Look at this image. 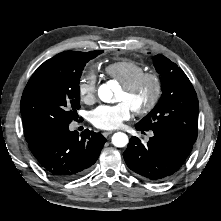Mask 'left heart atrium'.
<instances>
[{"label":"left heart atrium","mask_w":221,"mask_h":221,"mask_svg":"<svg viewBox=\"0 0 221 221\" xmlns=\"http://www.w3.org/2000/svg\"><path fill=\"white\" fill-rule=\"evenodd\" d=\"M133 109L127 102L116 105H100L90 113L91 123L103 130H112L131 117Z\"/></svg>","instance_id":"39dd6f15"}]
</instances>
